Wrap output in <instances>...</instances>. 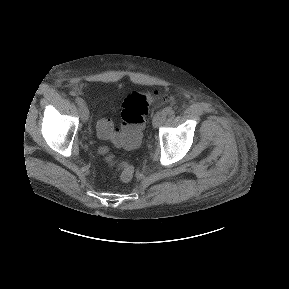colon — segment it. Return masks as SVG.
<instances>
[{"label":"colon","instance_id":"1","mask_svg":"<svg viewBox=\"0 0 289 289\" xmlns=\"http://www.w3.org/2000/svg\"><path fill=\"white\" fill-rule=\"evenodd\" d=\"M162 92L153 93L134 92L125 98L122 104V124L120 128H114L112 122L101 119L97 123V131L101 138L110 139L127 150H134L140 145L141 135L151 105L154 101L167 99ZM124 181H129L133 176V168L123 163L118 168Z\"/></svg>","mask_w":289,"mask_h":289}]
</instances>
